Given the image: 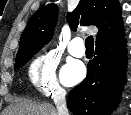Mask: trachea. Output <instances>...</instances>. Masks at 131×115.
I'll list each match as a JSON object with an SVG mask.
<instances>
[{
  "label": "trachea",
  "instance_id": "3493384b",
  "mask_svg": "<svg viewBox=\"0 0 131 115\" xmlns=\"http://www.w3.org/2000/svg\"><path fill=\"white\" fill-rule=\"evenodd\" d=\"M85 47L86 49H94V39L93 36H88L85 40Z\"/></svg>",
  "mask_w": 131,
  "mask_h": 115
}]
</instances>
